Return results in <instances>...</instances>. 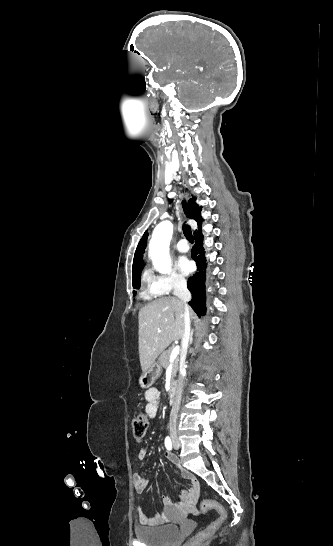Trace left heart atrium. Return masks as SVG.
<instances>
[{
  "label": "left heart atrium",
  "mask_w": 333,
  "mask_h": 546,
  "mask_svg": "<svg viewBox=\"0 0 333 546\" xmlns=\"http://www.w3.org/2000/svg\"><path fill=\"white\" fill-rule=\"evenodd\" d=\"M178 268L183 274H188L192 269V264L186 257H180L178 260Z\"/></svg>",
  "instance_id": "1"
}]
</instances>
